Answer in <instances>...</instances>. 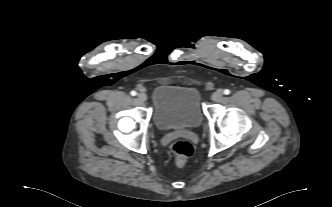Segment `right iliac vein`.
Here are the masks:
<instances>
[{"instance_id": "63e3f726", "label": "right iliac vein", "mask_w": 332, "mask_h": 207, "mask_svg": "<svg viewBox=\"0 0 332 207\" xmlns=\"http://www.w3.org/2000/svg\"><path fill=\"white\" fill-rule=\"evenodd\" d=\"M137 98L140 102H145L147 100V95L145 93H138Z\"/></svg>"}]
</instances>
